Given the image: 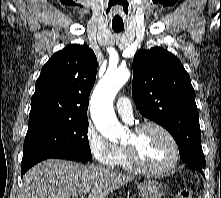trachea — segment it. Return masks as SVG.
<instances>
[{
  "instance_id": "3493384b",
  "label": "trachea",
  "mask_w": 221,
  "mask_h": 198,
  "mask_svg": "<svg viewBox=\"0 0 221 198\" xmlns=\"http://www.w3.org/2000/svg\"><path fill=\"white\" fill-rule=\"evenodd\" d=\"M112 29L114 30V32L119 33L123 30V27H112Z\"/></svg>"
}]
</instances>
